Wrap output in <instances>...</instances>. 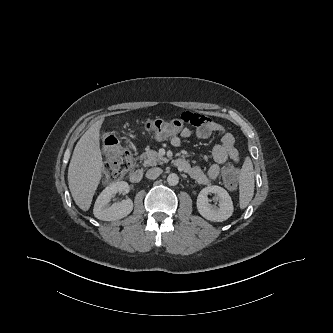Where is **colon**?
<instances>
[{"label": "colon", "instance_id": "colon-1", "mask_svg": "<svg viewBox=\"0 0 333 333\" xmlns=\"http://www.w3.org/2000/svg\"><path fill=\"white\" fill-rule=\"evenodd\" d=\"M183 123L191 124L183 119H153L145 123L147 132L155 138L163 139L177 136ZM196 124H191L197 126ZM103 151L107 158L105 166V178L109 183L121 179L132 167V156L126 146L121 144L113 134H105L102 138ZM239 179L238 169L231 163L223 168V180L227 187L234 188Z\"/></svg>", "mask_w": 333, "mask_h": 333}]
</instances>
